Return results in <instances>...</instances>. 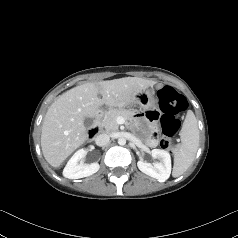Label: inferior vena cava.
<instances>
[{
  "instance_id": "602c4592",
  "label": "inferior vena cava",
  "mask_w": 238,
  "mask_h": 238,
  "mask_svg": "<svg viewBox=\"0 0 238 238\" xmlns=\"http://www.w3.org/2000/svg\"><path fill=\"white\" fill-rule=\"evenodd\" d=\"M109 141H110V137L107 134H99L95 138V143L98 146H105L109 143Z\"/></svg>"
}]
</instances>
